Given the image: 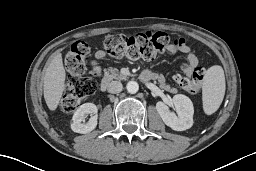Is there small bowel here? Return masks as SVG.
I'll use <instances>...</instances> for the list:
<instances>
[{
	"mask_svg": "<svg viewBox=\"0 0 256 171\" xmlns=\"http://www.w3.org/2000/svg\"><path fill=\"white\" fill-rule=\"evenodd\" d=\"M167 51L171 55H182L185 58V62L181 65V70L186 75H191L198 65L197 56L193 53L190 46L187 45L183 38H175L171 44L167 46ZM106 57V53L102 50H98L94 53L93 60L91 62V67L93 73L100 77L102 75V69L99 65V60ZM143 74L148 75V79L156 80L164 89L170 90L171 87L167 83L165 77L161 74H156L152 72H144Z\"/></svg>",
	"mask_w": 256,
	"mask_h": 171,
	"instance_id": "1",
	"label": "small bowel"
}]
</instances>
